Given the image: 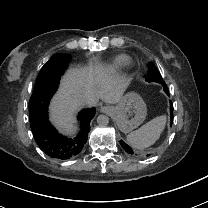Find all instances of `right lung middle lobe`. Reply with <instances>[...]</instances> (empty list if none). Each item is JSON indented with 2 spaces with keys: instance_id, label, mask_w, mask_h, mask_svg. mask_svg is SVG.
I'll return each instance as SVG.
<instances>
[{
  "instance_id": "right-lung-middle-lobe-1",
  "label": "right lung middle lobe",
  "mask_w": 208,
  "mask_h": 208,
  "mask_svg": "<svg viewBox=\"0 0 208 208\" xmlns=\"http://www.w3.org/2000/svg\"><path fill=\"white\" fill-rule=\"evenodd\" d=\"M54 58H62L64 59L65 61L69 62L70 60V56L68 54H65V53H59V54H55L54 56H52ZM51 57V58H52Z\"/></svg>"
}]
</instances>
